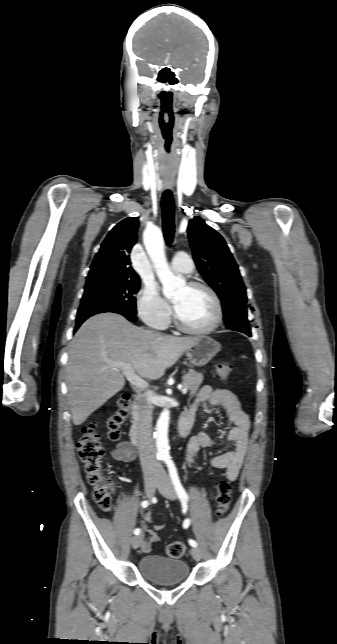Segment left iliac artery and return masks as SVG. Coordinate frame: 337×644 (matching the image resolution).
Returning <instances> with one entry per match:
<instances>
[{"instance_id":"44dca946","label":"left iliac artery","mask_w":337,"mask_h":644,"mask_svg":"<svg viewBox=\"0 0 337 644\" xmlns=\"http://www.w3.org/2000/svg\"><path fill=\"white\" fill-rule=\"evenodd\" d=\"M165 462H166V464L168 466L169 475L171 477L172 483L174 485L175 491H176L179 499L182 502L188 501V499H189L188 494L186 493L185 489L183 488V486H182V484L180 482L178 472H177V469H176V466H175L174 462L170 458H166ZM189 525H190V519H186L183 522V528L186 529V528L189 527ZM188 542L192 547H197V542L195 540L189 539Z\"/></svg>"}]
</instances>
